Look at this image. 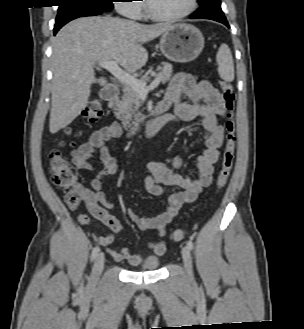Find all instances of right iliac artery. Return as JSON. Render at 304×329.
I'll list each match as a JSON object with an SVG mask.
<instances>
[{"label":"right iliac artery","mask_w":304,"mask_h":329,"mask_svg":"<svg viewBox=\"0 0 304 329\" xmlns=\"http://www.w3.org/2000/svg\"><path fill=\"white\" fill-rule=\"evenodd\" d=\"M99 247L98 246H96L94 249H93V251H92V254H91V261H93L96 257H97V255H98V253H99Z\"/></svg>","instance_id":"82829eb1"}]
</instances>
